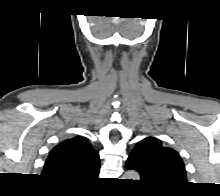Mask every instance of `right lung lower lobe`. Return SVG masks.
Instances as JSON below:
<instances>
[{
	"label": "right lung lower lobe",
	"instance_id": "1",
	"mask_svg": "<svg viewBox=\"0 0 220 196\" xmlns=\"http://www.w3.org/2000/svg\"><path fill=\"white\" fill-rule=\"evenodd\" d=\"M55 184L59 185V186H64V187H75V186H79V185H68V184H61V183H56Z\"/></svg>",
	"mask_w": 220,
	"mask_h": 196
}]
</instances>
